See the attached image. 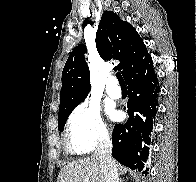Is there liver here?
Segmentation results:
<instances>
[{"instance_id": "obj_1", "label": "liver", "mask_w": 196, "mask_h": 182, "mask_svg": "<svg viewBox=\"0 0 196 182\" xmlns=\"http://www.w3.org/2000/svg\"><path fill=\"white\" fill-rule=\"evenodd\" d=\"M57 182H104L99 159L91 156L65 165Z\"/></svg>"}]
</instances>
